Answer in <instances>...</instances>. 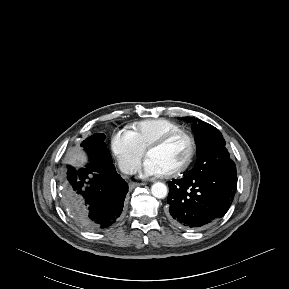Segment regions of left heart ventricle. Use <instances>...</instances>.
Instances as JSON below:
<instances>
[{"label": "left heart ventricle", "instance_id": "left-heart-ventricle-1", "mask_svg": "<svg viewBox=\"0 0 289 289\" xmlns=\"http://www.w3.org/2000/svg\"><path fill=\"white\" fill-rule=\"evenodd\" d=\"M189 142L185 137H179L166 146L153 150L148 158L155 161L164 173L170 172L180 166L189 153Z\"/></svg>", "mask_w": 289, "mask_h": 289}]
</instances>
